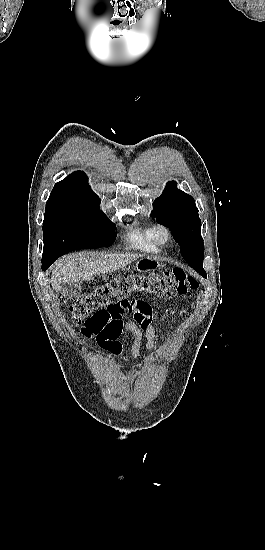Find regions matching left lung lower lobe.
Wrapping results in <instances>:
<instances>
[{
  "instance_id": "1",
  "label": "left lung lower lobe",
  "mask_w": 265,
  "mask_h": 550,
  "mask_svg": "<svg viewBox=\"0 0 265 550\" xmlns=\"http://www.w3.org/2000/svg\"><path fill=\"white\" fill-rule=\"evenodd\" d=\"M193 269H195V270H196L200 275H202L204 278H207L206 272L204 271L203 268H198V267H196V268H193Z\"/></svg>"
}]
</instances>
